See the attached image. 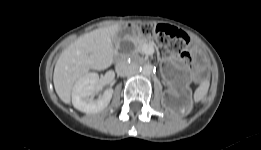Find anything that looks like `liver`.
I'll use <instances>...</instances> for the list:
<instances>
[{"label":"liver","instance_id":"1","mask_svg":"<svg viewBox=\"0 0 261 150\" xmlns=\"http://www.w3.org/2000/svg\"><path fill=\"white\" fill-rule=\"evenodd\" d=\"M120 30L118 24L93 30L70 44L56 62L53 83L59 98L71 102L75 82L90 70H104L113 63L112 39Z\"/></svg>","mask_w":261,"mask_h":150}]
</instances>
